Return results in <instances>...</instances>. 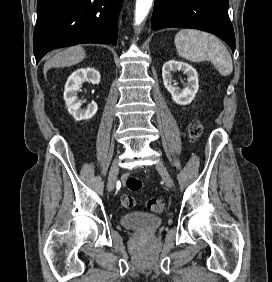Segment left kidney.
<instances>
[{
  "label": "left kidney",
  "instance_id": "1",
  "mask_svg": "<svg viewBox=\"0 0 272 282\" xmlns=\"http://www.w3.org/2000/svg\"><path fill=\"white\" fill-rule=\"evenodd\" d=\"M182 71L187 75V83L183 89L177 87L173 73ZM162 77L165 88L171 93L172 100L179 105H188L195 98L199 89L197 71L189 64L181 61H167L162 68Z\"/></svg>",
  "mask_w": 272,
  "mask_h": 282
}]
</instances>
